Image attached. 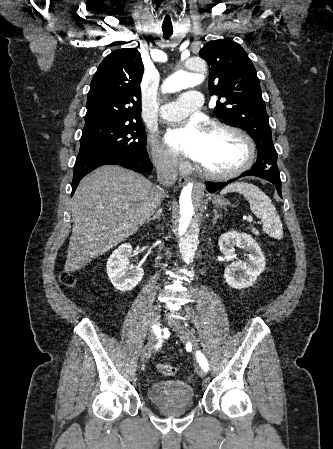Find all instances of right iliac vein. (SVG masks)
Masks as SVG:
<instances>
[{
  "label": "right iliac vein",
  "instance_id": "1",
  "mask_svg": "<svg viewBox=\"0 0 333 449\" xmlns=\"http://www.w3.org/2000/svg\"><path fill=\"white\" fill-rule=\"evenodd\" d=\"M160 311L161 308L159 305H155L153 310H152V328L153 327H158V318L160 315ZM157 341V336H156V332L151 331L148 337V342L145 345L142 353H141V361L145 362L146 360H148V358L151 355V351L155 346V343Z\"/></svg>",
  "mask_w": 333,
  "mask_h": 449
}]
</instances>
